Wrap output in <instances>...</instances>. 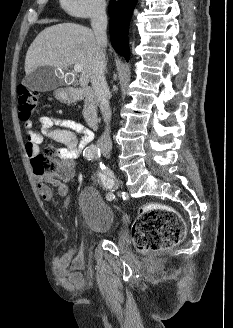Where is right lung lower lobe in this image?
<instances>
[{
	"instance_id": "right-lung-lower-lobe-1",
	"label": "right lung lower lobe",
	"mask_w": 233,
	"mask_h": 328,
	"mask_svg": "<svg viewBox=\"0 0 233 328\" xmlns=\"http://www.w3.org/2000/svg\"><path fill=\"white\" fill-rule=\"evenodd\" d=\"M137 0H113L109 5L110 36L113 48L129 59L128 27Z\"/></svg>"
}]
</instances>
